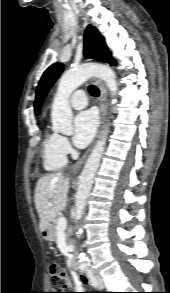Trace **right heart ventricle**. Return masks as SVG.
Returning <instances> with one entry per match:
<instances>
[{"mask_svg": "<svg viewBox=\"0 0 170 293\" xmlns=\"http://www.w3.org/2000/svg\"><path fill=\"white\" fill-rule=\"evenodd\" d=\"M41 155L43 168L48 172L60 170L65 166L66 154L60 149L57 133L45 130L41 144Z\"/></svg>", "mask_w": 170, "mask_h": 293, "instance_id": "1", "label": "right heart ventricle"}]
</instances>
